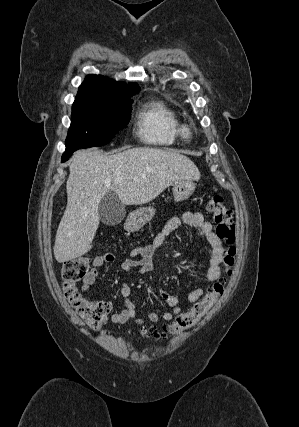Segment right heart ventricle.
<instances>
[{
    "label": "right heart ventricle",
    "mask_w": 299,
    "mask_h": 427,
    "mask_svg": "<svg viewBox=\"0 0 299 427\" xmlns=\"http://www.w3.org/2000/svg\"><path fill=\"white\" fill-rule=\"evenodd\" d=\"M179 126L176 112L159 99H148L136 112V136L149 146L158 148L173 146L179 137Z\"/></svg>",
    "instance_id": "e07e8e85"
}]
</instances>
